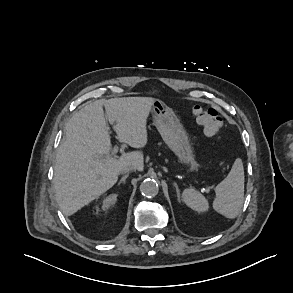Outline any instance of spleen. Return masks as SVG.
Segmentation results:
<instances>
[{
  "instance_id": "obj_1",
  "label": "spleen",
  "mask_w": 293,
  "mask_h": 293,
  "mask_svg": "<svg viewBox=\"0 0 293 293\" xmlns=\"http://www.w3.org/2000/svg\"><path fill=\"white\" fill-rule=\"evenodd\" d=\"M215 193L214 210L226 218H236L244 202V168L240 158L235 160L227 177L215 187ZM182 198L189 208L197 212H205L209 208L206 198L192 188L185 189Z\"/></svg>"
}]
</instances>
